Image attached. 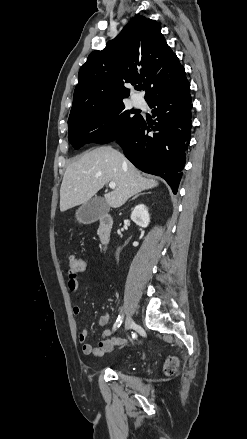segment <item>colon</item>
<instances>
[{
  "mask_svg": "<svg viewBox=\"0 0 247 439\" xmlns=\"http://www.w3.org/2000/svg\"><path fill=\"white\" fill-rule=\"evenodd\" d=\"M68 260H69V267L71 271L79 273V272H83L86 269L87 264L83 258L71 255L68 257ZM176 367H177L176 359L172 358L168 360L165 366L166 373L169 375L173 374L176 370Z\"/></svg>",
  "mask_w": 247,
  "mask_h": 439,
  "instance_id": "5ec220e1",
  "label": "colon"
}]
</instances>
